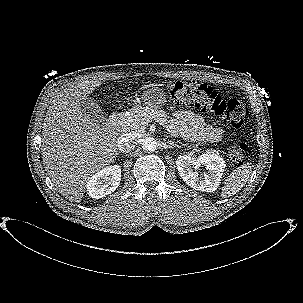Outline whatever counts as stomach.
I'll return each instance as SVG.
<instances>
[{"mask_svg":"<svg viewBox=\"0 0 303 303\" xmlns=\"http://www.w3.org/2000/svg\"><path fill=\"white\" fill-rule=\"evenodd\" d=\"M141 99L144 105L155 109L163 106L166 102V96L157 84L147 85Z\"/></svg>","mask_w":303,"mask_h":303,"instance_id":"1","label":"stomach"}]
</instances>
